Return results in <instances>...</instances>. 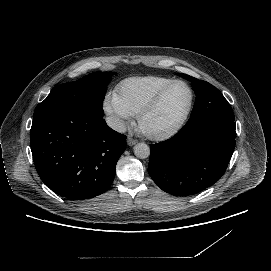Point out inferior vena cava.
Segmentation results:
<instances>
[{
    "label": "inferior vena cava",
    "mask_w": 271,
    "mask_h": 271,
    "mask_svg": "<svg viewBox=\"0 0 271 271\" xmlns=\"http://www.w3.org/2000/svg\"><path fill=\"white\" fill-rule=\"evenodd\" d=\"M107 125L112 128L113 130L124 133L126 132V126L124 122L114 116H109L106 118Z\"/></svg>",
    "instance_id": "602c4592"
}]
</instances>
